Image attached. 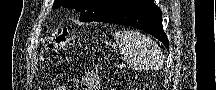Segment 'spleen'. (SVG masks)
I'll list each match as a JSON object with an SVG mask.
<instances>
[{
  "label": "spleen",
  "mask_w": 216,
  "mask_h": 90,
  "mask_svg": "<svg viewBox=\"0 0 216 90\" xmlns=\"http://www.w3.org/2000/svg\"><path fill=\"white\" fill-rule=\"evenodd\" d=\"M114 40L120 48L122 60L132 70H151L160 64L161 50L146 34L123 30L114 34Z\"/></svg>",
  "instance_id": "3e777b00"
}]
</instances>
